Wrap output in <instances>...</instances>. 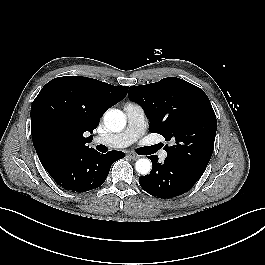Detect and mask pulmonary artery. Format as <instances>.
<instances>
[{
	"instance_id": "obj_1",
	"label": "pulmonary artery",
	"mask_w": 265,
	"mask_h": 265,
	"mask_svg": "<svg viewBox=\"0 0 265 265\" xmlns=\"http://www.w3.org/2000/svg\"><path fill=\"white\" fill-rule=\"evenodd\" d=\"M127 118V127L122 132L94 138V143L103 144L112 148H124L134 143L145 130V112L135 103L128 102L124 106ZM167 152L162 150L159 158L165 160Z\"/></svg>"
}]
</instances>
